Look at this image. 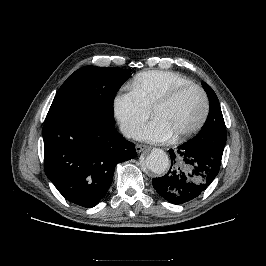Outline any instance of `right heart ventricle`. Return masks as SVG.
<instances>
[{
	"instance_id": "right-heart-ventricle-1",
	"label": "right heart ventricle",
	"mask_w": 266,
	"mask_h": 266,
	"mask_svg": "<svg viewBox=\"0 0 266 266\" xmlns=\"http://www.w3.org/2000/svg\"><path fill=\"white\" fill-rule=\"evenodd\" d=\"M193 83L185 76L164 70L139 73L130 83V89L151 109L153 105L173 88Z\"/></svg>"
}]
</instances>
